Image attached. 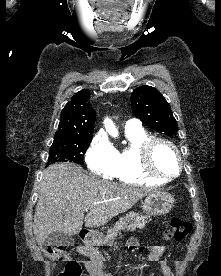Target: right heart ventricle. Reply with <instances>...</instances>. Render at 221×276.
Here are the masks:
<instances>
[{
  "instance_id": "1",
  "label": "right heart ventricle",
  "mask_w": 221,
  "mask_h": 276,
  "mask_svg": "<svg viewBox=\"0 0 221 276\" xmlns=\"http://www.w3.org/2000/svg\"><path fill=\"white\" fill-rule=\"evenodd\" d=\"M128 144L117 151V164L114 177L120 182L135 185H153L162 181L146 176L140 165L139 148L150 134L144 129H125Z\"/></svg>"
}]
</instances>
